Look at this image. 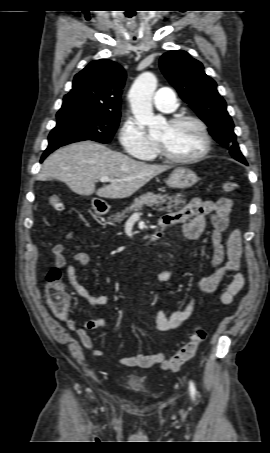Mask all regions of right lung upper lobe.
I'll use <instances>...</instances> for the list:
<instances>
[{
    "label": "right lung upper lobe",
    "mask_w": 270,
    "mask_h": 453,
    "mask_svg": "<svg viewBox=\"0 0 270 453\" xmlns=\"http://www.w3.org/2000/svg\"><path fill=\"white\" fill-rule=\"evenodd\" d=\"M125 79V70L119 64L107 59L92 61L75 75L57 117L79 112L120 115Z\"/></svg>",
    "instance_id": "cb5924a9"
}]
</instances>
